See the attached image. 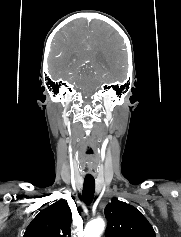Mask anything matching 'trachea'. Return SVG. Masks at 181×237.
<instances>
[{
  "instance_id": "obj_1",
  "label": "trachea",
  "mask_w": 181,
  "mask_h": 237,
  "mask_svg": "<svg viewBox=\"0 0 181 237\" xmlns=\"http://www.w3.org/2000/svg\"><path fill=\"white\" fill-rule=\"evenodd\" d=\"M94 178H85L84 179V185H83V191H82V199L86 204H90L94 197Z\"/></svg>"
}]
</instances>
